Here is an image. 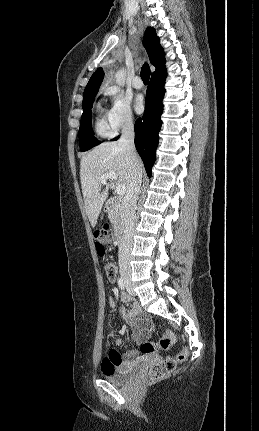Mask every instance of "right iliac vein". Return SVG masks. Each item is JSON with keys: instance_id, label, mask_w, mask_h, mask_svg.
Wrapping results in <instances>:
<instances>
[{"instance_id": "1", "label": "right iliac vein", "mask_w": 259, "mask_h": 431, "mask_svg": "<svg viewBox=\"0 0 259 431\" xmlns=\"http://www.w3.org/2000/svg\"><path fill=\"white\" fill-rule=\"evenodd\" d=\"M122 278L126 284V287L129 291H132V286L130 282V273L128 271H122Z\"/></svg>"}]
</instances>
